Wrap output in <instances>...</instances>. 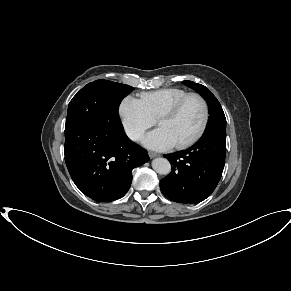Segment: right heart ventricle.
I'll return each mask as SVG.
<instances>
[{
  "instance_id": "e07e8e85",
  "label": "right heart ventricle",
  "mask_w": 291,
  "mask_h": 291,
  "mask_svg": "<svg viewBox=\"0 0 291 291\" xmlns=\"http://www.w3.org/2000/svg\"><path fill=\"white\" fill-rule=\"evenodd\" d=\"M188 93V91L180 88H162L142 93L140 100L151 118L157 119L164 111Z\"/></svg>"
}]
</instances>
